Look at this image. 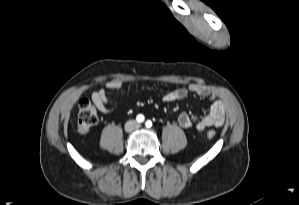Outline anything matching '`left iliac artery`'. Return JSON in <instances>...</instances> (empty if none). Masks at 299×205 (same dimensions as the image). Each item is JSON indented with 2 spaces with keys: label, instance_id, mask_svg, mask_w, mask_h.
Here are the masks:
<instances>
[{
  "label": "left iliac artery",
  "instance_id": "left-iliac-artery-1",
  "mask_svg": "<svg viewBox=\"0 0 299 205\" xmlns=\"http://www.w3.org/2000/svg\"><path fill=\"white\" fill-rule=\"evenodd\" d=\"M151 126H152V122H151L150 120H148V121L146 122V127L150 128Z\"/></svg>",
  "mask_w": 299,
  "mask_h": 205
}]
</instances>
